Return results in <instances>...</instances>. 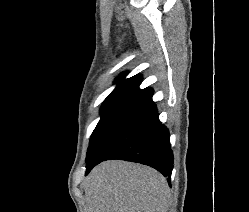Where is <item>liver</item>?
I'll return each mask as SVG.
<instances>
[{
    "instance_id": "1",
    "label": "liver",
    "mask_w": 249,
    "mask_h": 212,
    "mask_svg": "<svg viewBox=\"0 0 249 212\" xmlns=\"http://www.w3.org/2000/svg\"><path fill=\"white\" fill-rule=\"evenodd\" d=\"M85 212H167L169 186L157 170L108 160L83 182Z\"/></svg>"
}]
</instances>
